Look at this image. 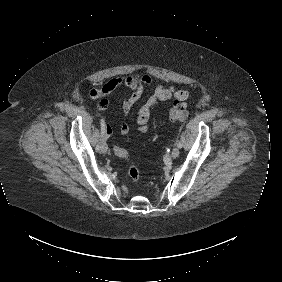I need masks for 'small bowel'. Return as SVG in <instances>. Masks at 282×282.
I'll list each match as a JSON object with an SVG mask.
<instances>
[{"label":"small bowel","instance_id":"1","mask_svg":"<svg viewBox=\"0 0 282 282\" xmlns=\"http://www.w3.org/2000/svg\"><path fill=\"white\" fill-rule=\"evenodd\" d=\"M153 82V76L149 73L130 75L125 77H114L108 80L101 88L92 89L88 92V96L92 99H98L97 109L99 111L106 110L110 103L107 99L113 91L118 87L124 86L128 88L131 93L123 101L121 109L124 116H128L133 106L141 98L144 87ZM189 98V93L184 89H177L173 85H158L154 91L148 96L143 105L137 111L136 123L137 129L140 132H146L148 130V121L152 110L160 102L172 101L173 105L182 104L185 106V102ZM119 130L121 135L125 136L130 131V126L127 122L122 121L119 123ZM104 131L107 135L111 134L112 126L107 123L104 126Z\"/></svg>","mask_w":282,"mask_h":282}]
</instances>
